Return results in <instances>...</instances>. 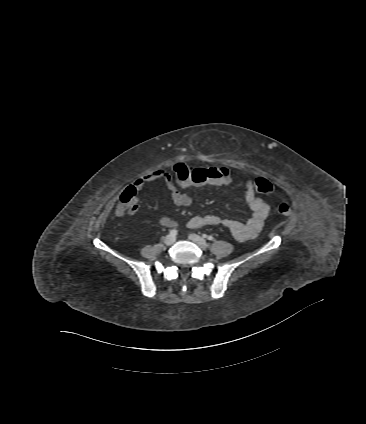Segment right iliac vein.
I'll use <instances>...</instances> for the list:
<instances>
[{"label":"right iliac vein","mask_w":366,"mask_h":424,"mask_svg":"<svg viewBox=\"0 0 366 424\" xmlns=\"http://www.w3.org/2000/svg\"><path fill=\"white\" fill-rule=\"evenodd\" d=\"M175 242V236L167 235L164 239V243L168 246L172 245Z\"/></svg>","instance_id":"obj_1"}]
</instances>
